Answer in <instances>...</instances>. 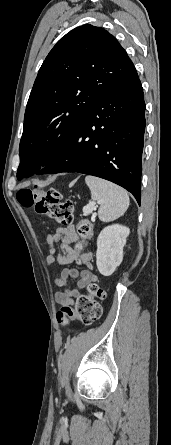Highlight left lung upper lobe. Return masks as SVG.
Listing matches in <instances>:
<instances>
[{
    "instance_id": "1",
    "label": "left lung upper lobe",
    "mask_w": 171,
    "mask_h": 445,
    "mask_svg": "<svg viewBox=\"0 0 171 445\" xmlns=\"http://www.w3.org/2000/svg\"><path fill=\"white\" fill-rule=\"evenodd\" d=\"M134 71L119 42L100 27L82 25L62 37L39 69L26 106L17 179L51 162L87 109Z\"/></svg>"
}]
</instances>
